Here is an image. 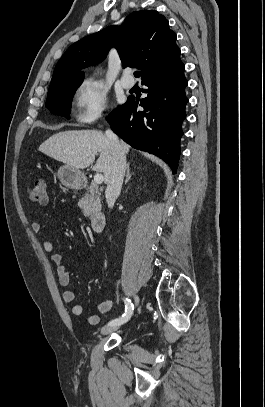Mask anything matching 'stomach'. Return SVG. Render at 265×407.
<instances>
[{
  "mask_svg": "<svg viewBox=\"0 0 265 407\" xmlns=\"http://www.w3.org/2000/svg\"><path fill=\"white\" fill-rule=\"evenodd\" d=\"M58 178L67 188L76 189L80 187L85 179L84 174L71 166L63 165L58 169Z\"/></svg>",
  "mask_w": 265,
  "mask_h": 407,
  "instance_id": "1",
  "label": "stomach"
}]
</instances>
